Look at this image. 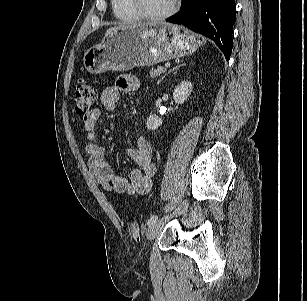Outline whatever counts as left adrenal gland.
I'll return each mask as SVG.
<instances>
[{
  "label": "left adrenal gland",
  "instance_id": "1",
  "mask_svg": "<svg viewBox=\"0 0 307 301\" xmlns=\"http://www.w3.org/2000/svg\"><path fill=\"white\" fill-rule=\"evenodd\" d=\"M182 65H185V63L181 64V65H178L176 67H174L172 70L168 71V73H166L160 80L158 83H160L165 77L166 75H168L169 73H171L172 71H174L175 69H177L178 67L182 66Z\"/></svg>",
  "mask_w": 307,
  "mask_h": 301
}]
</instances>
